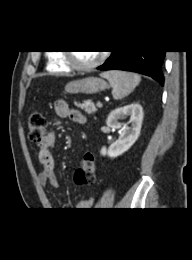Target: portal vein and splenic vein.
<instances>
[{"label": "portal vein and splenic vein", "instance_id": "1", "mask_svg": "<svg viewBox=\"0 0 192 260\" xmlns=\"http://www.w3.org/2000/svg\"><path fill=\"white\" fill-rule=\"evenodd\" d=\"M97 106H98V107H102L103 104H102L101 102H98V103H97Z\"/></svg>", "mask_w": 192, "mask_h": 260}]
</instances>
